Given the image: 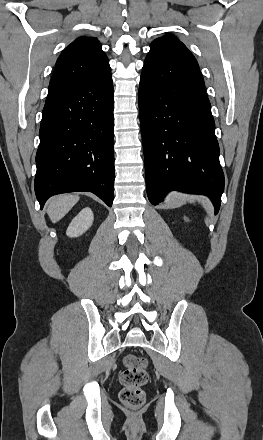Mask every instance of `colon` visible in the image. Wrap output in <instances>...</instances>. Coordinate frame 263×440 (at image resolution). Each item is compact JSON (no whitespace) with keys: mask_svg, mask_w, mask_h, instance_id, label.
<instances>
[{"mask_svg":"<svg viewBox=\"0 0 263 440\" xmlns=\"http://www.w3.org/2000/svg\"><path fill=\"white\" fill-rule=\"evenodd\" d=\"M122 389L119 393L120 401L123 405L138 409L146 401L143 386L148 381V366L144 358L128 354L124 358V366L119 375Z\"/></svg>","mask_w":263,"mask_h":440,"instance_id":"1","label":"colon"}]
</instances>
